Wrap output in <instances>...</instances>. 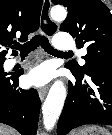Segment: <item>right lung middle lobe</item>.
Listing matches in <instances>:
<instances>
[{
    "instance_id": "1",
    "label": "right lung middle lobe",
    "mask_w": 112,
    "mask_h": 135,
    "mask_svg": "<svg viewBox=\"0 0 112 135\" xmlns=\"http://www.w3.org/2000/svg\"><path fill=\"white\" fill-rule=\"evenodd\" d=\"M3 63L4 62H0V82H2L4 78L8 75V73L4 72Z\"/></svg>"
}]
</instances>
